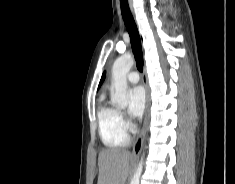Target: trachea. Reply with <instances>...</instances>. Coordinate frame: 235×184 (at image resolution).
I'll return each mask as SVG.
<instances>
[{
  "label": "trachea",
  "instance_id": "trachea-1",
  "mask_svg": "<svg viewBox=\"0 0 235 184\" xmlns=\"http://www.w3.org/2000/svg\"><path fill=\"white\" fill-rule=\"evenodd\" d=\"M120 6L122 11V17L126 25L127 31L130 36L132 50L135 56L136 65L140 72L143 71V54L141 48V41L137 26L133 19V15L130 11L128 0H120Z\"/></svg>",
  "mask_w": 235,
  "mask_h": 184
}]
</instances>
